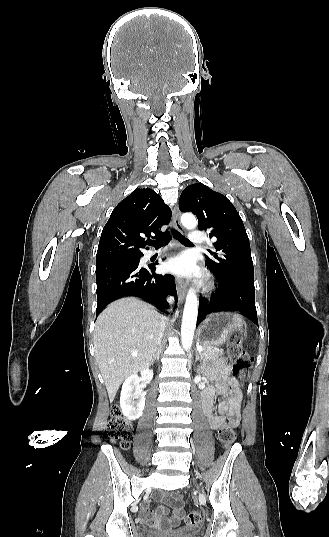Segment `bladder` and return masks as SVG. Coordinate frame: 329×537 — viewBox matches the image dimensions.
<instances>
[{
	"label": "bladder",
	"instance_id": "31cf9c89",
	"mask_svg": "<svg viewBox=\"0 0 329 537\" xmlns=\"http://www.w3.org/2000/svg\"><path fill=\"white\" fill-rule=\"evenodd\" d=\"M196 533V531L192 528L190 529H184L182 531L179 532V534H176V535H173V536H166L160 532H156V531H148L147 532V537H192V535H194Z\"/></svg>",
	"mask_w": 329,
	"mask_h": 537
}]
</instances>
